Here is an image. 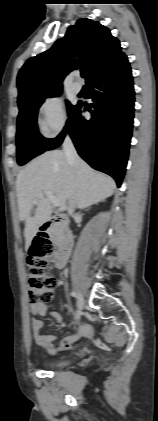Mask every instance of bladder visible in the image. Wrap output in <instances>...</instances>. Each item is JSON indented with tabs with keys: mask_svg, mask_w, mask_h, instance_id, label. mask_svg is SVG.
Wrapping results in <instances>:
<instances>
[{
	"mask_svg": "<svg viewBox=\"0 0 158 421\" xmlns=\"http://www.w3.org/2000/svg\"><path fill=\"white\" fill-rule=\"evenodd\" d=\"M67 365H68V361L64 359L53 361L48 364V366L51 368H63Z\"/></svg>",
	"mask_w": 158,
	"mask_h": 421,
	"instance_id": "1",
	"label": "bladder"
}]
</instances>
